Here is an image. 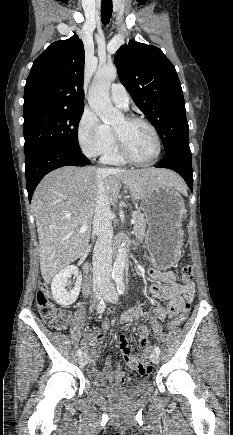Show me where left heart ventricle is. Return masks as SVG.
Here are the masks:
<instances>
[{"label": "left heart ventricle", "instance_id": "b2bd125f", "mask_svg": "<svg viewBox=\"0 0 233 435\" xmlns=\"http://www.w3.org/2000/svg\"><path fill=\"white\" fill-rule=\"evenodd\" d=\"M129 151L139 161L147 162L154 158L156 143L151 130L143 123H128L120 119L114 126Z\"/></svg>", "mask_w": 233, "mask_h": 435}]
</instances>
